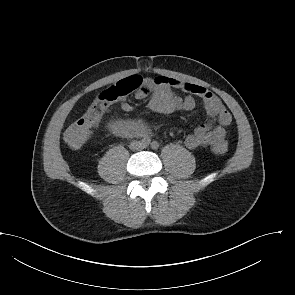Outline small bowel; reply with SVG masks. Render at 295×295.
<instances>
[{"mask_svg":"<svg viewBox=\"0 0 295 295\" xmlns=\"http://www.w3.org/2000/svg\"><path fill=\"white\" fill-rule=\"evenodd\" d=\"M174 90H180L186 93V96L181 98ZM147 96H150L148 108L165 116L179 111H191L196 107V99L202 100L208 120L186 135L185 145L188 148L227 142V129L232 122V116L220 98L207 88L177 78L157 76L143 79L141 88L135 93L136 99ZM121 109L129 112L133 107L128 102H122ZM113 130L126 137L140 136L147 132L145 124L140 120L117 121L113 124Z\"/></svg>","mask_w":295,"mask_h":295,"instance_id":"small-bowel-1","label":"small bowel"}]
</instances>
